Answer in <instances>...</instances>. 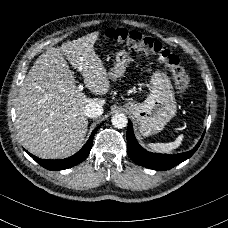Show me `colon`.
I'll return each instance as SVG.
<instances>
[{"label": "colon", "mask_w": 228, "mask_h": 228, "mask_svg": "<svg viewBox=\"0 0 228 228\" xmlns=\"http://www.w3.org/2000/svg\"><path fill=\"white\" fill-rule=\"evenodd\" d=\"M113 43L130 45L140 53L157 56L170 71L177 93L186 94L190 88V79L179 57L167 49L161 42L141 32L123 28H112L107 33Z\"/></svg>", "instance_id": "obj_1"}]
</instances>
